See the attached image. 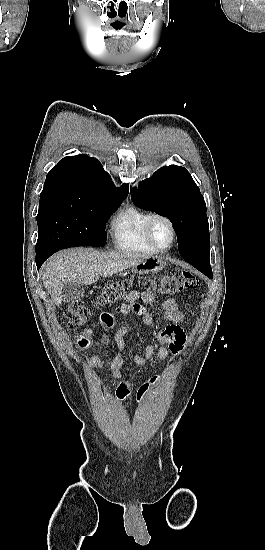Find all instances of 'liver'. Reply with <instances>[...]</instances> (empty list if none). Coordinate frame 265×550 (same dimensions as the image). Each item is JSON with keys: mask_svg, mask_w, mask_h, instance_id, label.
<instances>
[{"mask_svg": "<svg viewBox=\"0 0 265 550\" xmlns=\"http://www.w3.org/2000/svg\"><path fill=\"white\" fill-rule=\"evenodd\" d=\"M148 258L146 255L99 252L86 248H73L53 255L44 266L42 281L53 303L63 301L62 290L68 283L90 285L99 276L108 277L135 266Z\"/></svg>", "mask_w": 265, "mask_h": 550, "instance_id": "6515ba94", "label": "liver"}]
</instances>
